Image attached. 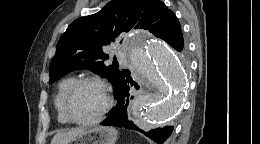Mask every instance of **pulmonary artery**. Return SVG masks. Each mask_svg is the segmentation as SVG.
<instances>
[{"mask_svg": "<svg viewBox=\"0 0 260 144\" xmlns=\"http://www.w3.org/2000/svg\"><path fill=\"white\" fill-rule=\"evenodd\" d=\"M117 57H118L119 59H123L122 53L118 52V53H117Z\"/></svg>", "mask_w": 260, "mask_h": 144, "instance_id": "obj_1", "label": "pulmonary artery"}]
</instances>
